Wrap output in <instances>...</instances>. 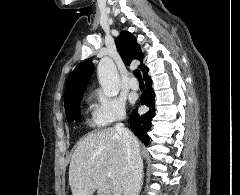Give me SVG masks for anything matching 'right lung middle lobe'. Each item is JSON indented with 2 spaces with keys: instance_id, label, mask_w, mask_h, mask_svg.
Listing matches in <instances>:
<instances>
[{
  "instance_id": "dd1d6c3e",
  "label": "right lung middle lobe",
  "mask_w": 240,
  "mask_h": 195,
  "mask_svg": "<svg viewBox=\"0 0 240 195\" xmlns=\"http://www.w3.org/2000/svg\"><path fill=\"white\" fill-rule=\"evenodd\" d=\"M81 103V98L71 102L68 106H65V113L68 122H72L74 120H79L81 118V113H80V106Z\"/></svg>"
}]
</instances>
